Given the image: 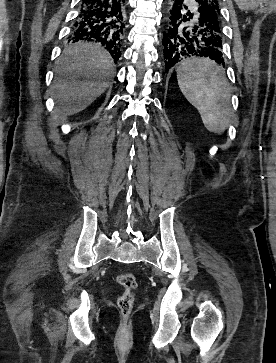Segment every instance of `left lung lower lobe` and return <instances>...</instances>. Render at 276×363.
I'll list each match as a JSON object with an SVG mask.
<instances>
[{
	"label": "left lung lower lobe",
	"mask_w": 276,
	"mask_h": 363,
	"mask_svg": "<svg viewBox=\"0 0 276 363\" xmlns=\"http://www.w3.org/2000/svg\"><path fill=\"white\" fill-rule=\"evenodd\" d=\"M170 23L163 38V64L166 73L177 63L194 57H208L224 65L222 54V24L216 10L198 2L191 13L186 0H173Z\"/></svg>",
	"instance_id": "0a47b994"
}]
</instances>
